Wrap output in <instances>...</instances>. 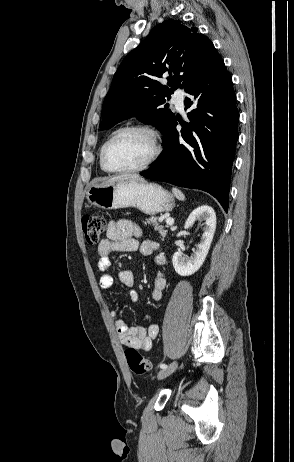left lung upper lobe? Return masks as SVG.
I'll list each match as a JSON object with an SVG mask.
<instances>
[{"label": "left lung upper lobe", "instance_id": "5c2ea615", "mask_svg": "<svg viewBox=\"0 0 294 462\" xmlns=\"http://www.w3.org/2000/svg\"><path fill=\"white\" fill-rule=\"evenodd\" d=\"M221 58L196 28L166 20L128 54L117 69L102 107L101 129L132 116L153 124L165 135L175 115L160 108L176 88L189 85L211 62ZM168 75V86L159 82Z\"/></svg>", "mask_w": 294, "mask_h": 462}]
</instances>
